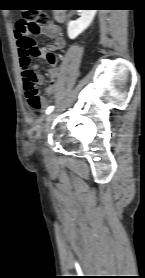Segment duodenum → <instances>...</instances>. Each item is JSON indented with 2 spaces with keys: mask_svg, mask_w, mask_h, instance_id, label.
<instances>
[{
  "mask_svg": "<svg viewBox=\"0 0 145 278\" xmlns=\"http://www.w3.org/2000/svg\"><path fill=\"white\" fill-rule=\"evenodd\" d=\"M55 19H56V21H58V22H62V21L64 20V14H63V13L57 14L56 17H55ZM53 90H54V88L51 89V90H49V91H46V94H47V95H50V94L53 92Z\"/></svg>",
  "mask_w": 145,
  "mask_h": 278,
  "instance_id": "1",
  "label": "duodenum"
}]
</instances>
